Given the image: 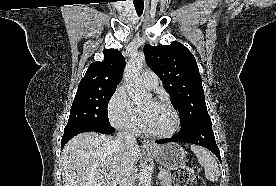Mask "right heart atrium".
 <instances>
[{
	"label": "right heart atrium",
	"instance_id": "right-heart-atrium-1",
	"mask_svg": "<svg viewBox=\"0 0 276 186\" xmlns=\"http://www.w3.org/2000/svg\"><path fill=\"white\" fill-rule=\"evenodd\" d=\"M108 118L117 129L127 133H136L140 127L137 112L123 86H120L108 102Z\"/></svg>",
	"mask_w": 276,
	"mask_h": 186
}]
</instances>
